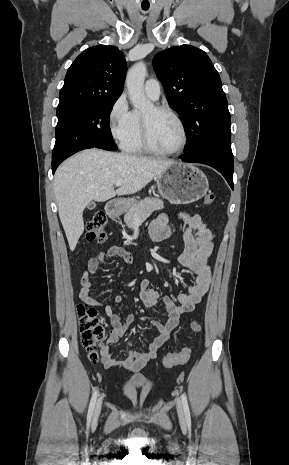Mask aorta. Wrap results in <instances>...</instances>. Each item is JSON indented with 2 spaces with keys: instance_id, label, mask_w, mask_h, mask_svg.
<instances>
[{
  "instance_id": "1",
  "label": "aorta",
  "mask_w": 289,
  "mask_h": 465,
  "mask_svg": "<svg viewBox=\"0 0 289 465\" xmlns=\"http://www.w3.org/2000/svg\"><path fill=\"white\" fill-rule=\"evenodd\" d=\"M147 75V68L143 62H138L128 71L126 76V86L130 101L139 110H144L152 106L151 101L144 94V81Z\"/></svg>"
}]
</instances>
